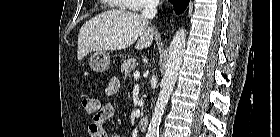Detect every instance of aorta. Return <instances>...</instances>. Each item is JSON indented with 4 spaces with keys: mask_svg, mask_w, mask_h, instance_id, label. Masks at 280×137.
Here are the masks:
<instances>
[{
    "mask_svg": "<svg viewBox=\"0 0 280 137\" xmlns=\"http://www.w3.org/2000/svg\"><path fill=\"white\" fill-rule=\"evenodd\" d=\"M186 44V31L180 28L173 36L168 48V61L164 75L161 80L156 106L148 126L146 137H159V128L167 102L173 92L180 68L183 62Z\"/></svg>",
    "mask_w": 280,
    "mask_h": 137,
    "instance_id": "obj_1",
    "label": "aorta"
}]
</instances>
